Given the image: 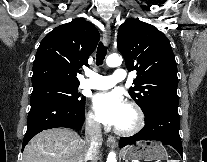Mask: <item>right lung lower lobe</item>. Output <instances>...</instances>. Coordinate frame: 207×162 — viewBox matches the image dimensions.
<instances>
[{
  "label": "right lung lower lobe",
  "mask_w": 207,
  "mask_h": 162,
  "mask_svg": "<svg viewBox=\"0 0 207 162\" xmlns=\"http://www.w3.org/2000/svg\"><path fill=\"white\" fill-rule=\"evenodd\" d=\"M84 120L85 104L72 106L57 98L32 100L22 149L32 137L43 130L57 127L80 129Z\"/></svg>",
  "instance_id": "obj_1"
}]
</instances>
